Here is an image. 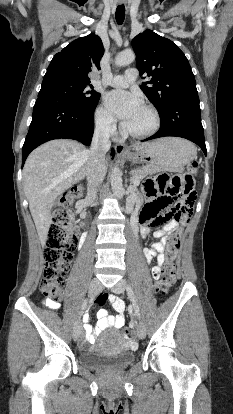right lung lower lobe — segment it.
Masks as SVG:
<instances>
[{"label":"right lung lower lobe","instance_id":"right-lung-lower-lobe-1","mask_svg":"<svg viewBox=\"0 0 233 414\" xmlns=\"http://www.w3.org/2000/svg\"><path fill=\"white\" fill-rule=\"evenodd\" d=\"M94 110L95 107L72 106L54 98H38L22 148V166L33 149L49 140L68 138L89 145L94 130ZM111 154L114 155V150Z\"/></svg>","mask_w":233,"mask_h":414}]
</instances>
